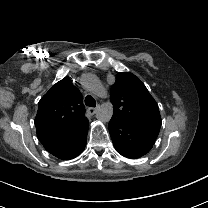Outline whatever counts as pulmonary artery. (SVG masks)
<instances>
[{"mask_svg":"<svg viewBox=\"0 0 208 208\" xmlns=\"http://www.w3.org/2000/svg\"><path fill=\"white\" fill-rule=\"evenodd\" d=\"M91 84H92V80H88ZM95 89L96 90H102L103 89V87L101 86V85H96V87H95Z\"/></svg>","mask_w":208,"mask_h":208,"instance_id":"e3ab8cb5","label":"pulmonary artery"}]
</instances>
